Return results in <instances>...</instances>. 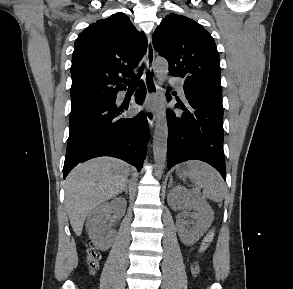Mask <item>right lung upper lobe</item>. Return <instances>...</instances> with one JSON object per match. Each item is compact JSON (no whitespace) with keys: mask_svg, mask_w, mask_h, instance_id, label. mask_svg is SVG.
Segmentation results:
<instances>
[{"mask_svg":"<svg viewBox=\"0 0 293 289\" xmlns=\"http://www.w3.org/2000/svg\"><path fill=\"white\" fill-rule=\"evenodd\" d=\"M146 50L147 38L124 13L91 24L75 41L71 102L116 96Z\"/></svg>","mask_w":293,"mask_h":289,"instance_id":"right-lung-upper-lobe-1","label":"right lung upper lobe"}]
</instances>
